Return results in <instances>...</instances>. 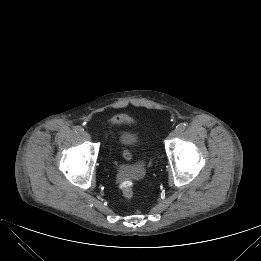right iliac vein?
<instances>
[{"label": "right iliac vein", "instance_id": "obj_1", "mask_svg": "<svg viewBox=\"0 0 261 261\" xmlns=\"http://www.w3.org/2000/svg\"><path fill=\"white\" fill-rule=\"evenodd\" d=\"M82 136H83V138H84L85 140H90V139H91V136H90V134H89L88 132H83V133H82Z\"/></svg>", "mask_w": 261, "mask_h": 261}]
</instances>
